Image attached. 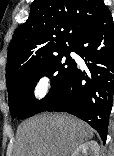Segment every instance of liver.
<instances>
[{
    "mask_svg": "<svg viewBox=\"0 0 114 156\" xmlns=\"http://www.w3.org/2000/svg\"><path fill=\"white\" fill-rule=\"evenodd\" d=\"M93 135V129L76 117L43 113L20 125L15 156H69Z\"/></svg>",
    "mask_w": 114,
    "mask_h": 156,
    "instance_id": "1",
    "label": "liver"
}]
</instances>
